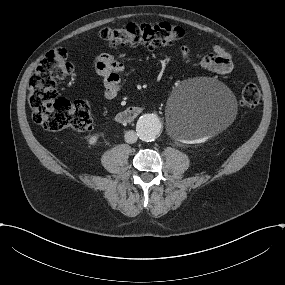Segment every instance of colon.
<instances>
[{"mask_svg": "<svg viewBox=\"0 0 285 285\" xmlns=\"http://www.w3.org/2000/svg\"><path fill=\"white\" fill-rule=\"evenodd\" d=\"M185 34L182 27L167 22L130 23L119 28H103L99 33L110 48L126 44L158 47L177 41ZM74 71L75 67L67 60L66 51L57 48L46 54L30 78L28 103L32 118L48 131H85L92 125V115L87 103L69 101L58 95V82L70 77ZM260 101L261 92L258 86L254 83L245 85L241 93V104L246 108H253Z\"/></svg>", "mask_w": 285, "mask_h": 285, "instance_id": "5ec220e1", "label": "colon"}]
</instances>
